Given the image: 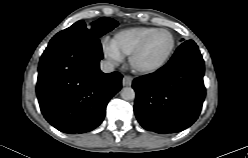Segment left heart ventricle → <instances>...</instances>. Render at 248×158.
I'll return each instance as SVG.
<instances>
[{"label":"left heart ventricle","instance_id":"1","mask_svg":"<svg viewBox=\"0 0 248 158\" xmlns=\"http://www.w3.org/2000/svg\"><path fill=\"white\" fill-rule=\"evenodd\" d=\"M171 47V37L165 32L154 34L148 41L145 49L137 59L141 67H149L159 63Z\"/></svg>","mask_w":248,"mask_h":158}]
</instances>
